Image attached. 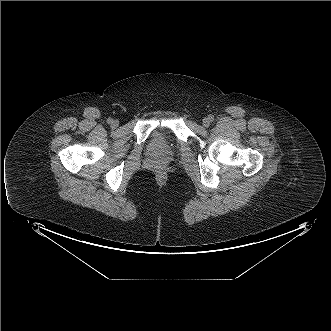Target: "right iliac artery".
<instances>
[{"instance_id":"right-iliac-artery-1","label":"right iliac artery","mask_w":331,"mask_h":331,"mask_svg":"<svg viewBox=\"0 0 331 331\" xmlns=\"http://www.w3.org/2000/svg\"><path fill=\"white\" fill-rule=\"evenodd\" d=\"M112 121H113V119H111V118H109V119L107 120V122H108L109 124H111Z\"/></svg>"}]
</instances>
